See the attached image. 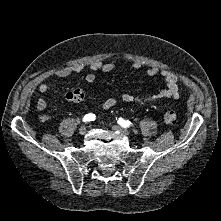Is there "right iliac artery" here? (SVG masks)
<instances>
[{"label":"right iliac artery","mask_w":221,"mask_h":221,"mask_svg":"<svg viewBox=\"0 0 221 221\" xmlns=\"http://www.w3.org/2000/svg\"><path fill=\"white\" fill-rule=\"evenodd\" d=\"M95 117H96L95 114L89 113V114H87V115L84 116L83 120H84L85 122L94 121V120H95Z\"/></svg>","instance_id":"82829eb1"}]
</instances>
